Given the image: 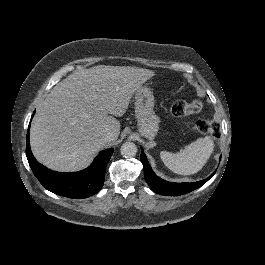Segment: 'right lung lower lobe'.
Instances as JSON below:
<instances>
[{
	"mask_svg": "<svg viewBox=\"0 0 265 265\" xmlns=\"http://www.w3.org/2000/svg\"><path fill=\"white\" fill-rule=\"evenodd\" d=\"M112 153V148L100 152L85 170L73 173L55 172L34 158L29 144V129L27 132L26 155L34 175L47 190L67 198L83 199L97 193L103 186L106 165Z\"/></svg>",
	"mask_w": 265,
	"mask_h": 265,
	"instance_id": "98d812e1",
	"label": "right lung lower lobe"
}]
</instances>
